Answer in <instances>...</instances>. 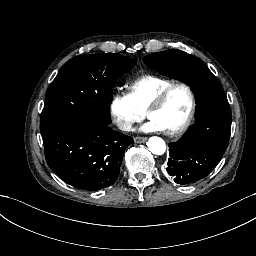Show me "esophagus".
<instances>
[{
    "label": "esophagus",
    "instance_id": "34e87169",
    "mask_svg": "<svg viewBox=\"0 0 256 256\" xmlns=\"http://www.w3.org/2000/svg\"><path fill=\"white\" fill-rule=\"evenodd\" d=\"M146 140H147L146 137H135V138H134V142H135V143H143V142H145Z\"/></svg>",
    "mask_w": 256,
    "mask_h": 256
}]
</instances>
